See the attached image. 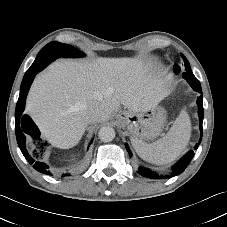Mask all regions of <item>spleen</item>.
I'll use <instances>...</instances> for the list:
<instances>
[{
  "mask_svg": "<svg viewBox=\"0 0 227 227\" xmlns=\"http://www.w3.org/2000/svg\"><path fill=\"white\" fill-rule=\"evenodd\" d=\"M190 136V117L183 109L170 130L161 139L148 144L142 140L131 138V143L143 160L156 165H165L180 156L186 148Z\"/></svg>",
  "mask_w": 227,
  "mask_h": 227,
  "instance_id": "spleen-1",
  "label": "spleen"
}]
</instances>
